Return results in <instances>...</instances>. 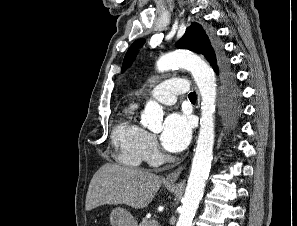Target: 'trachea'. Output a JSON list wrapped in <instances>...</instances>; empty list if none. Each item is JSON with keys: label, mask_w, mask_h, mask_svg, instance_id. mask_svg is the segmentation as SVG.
<instances>
[{"label": "trachea", "mask_w": 297, "mask_h": 226, "mask_svg": "<svg viewBox=\"0 0 297 226\" xmlns=\"http://www.w3.org/2000/svg\"><path fill=\"white\" fill-rule=\"evenodd\" d=\"M189 100H190L191 102H195V101H196V93H195V92H191V93L189 94Z\"/></svg>", "instance_id": "trachea-1"}]
</instances>
